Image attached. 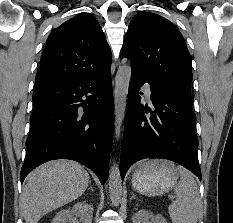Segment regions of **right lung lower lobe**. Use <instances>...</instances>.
I'll return each instance as SVG.
<instances>
[{
	"label": "right lung lower lobe",
	"instance_id": "right-lung-lower-lobe-1",
	"mask_svg": "<svg viewBox=\"0 0 233 223\" xmlns=\"http://www.w3.org/2000/svg\"><path fill=\"white\" fill-rule=\"evenodd\" d=\"M21 183L35 167L71 159L104 184L113 136L111 67L94 76L35 88Z\"/></svg>",
	"mask_w": 233,
	"mask_h": 223
}]
</instances>
